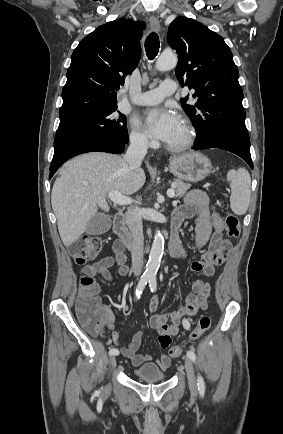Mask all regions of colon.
<instances>
[{
  "label": "colon",
  "mask_w": 283,
  "mask_h": 434,
  "mask_svg": "<svg viewBox=\"0 0 283 434\" xmlns=\"http://www.w3.org/2000/svg\"><path fill=\"white\" fill-rule=\"evenodd\" d=\"M240 221L234 214L228 213L225 217V231L230 237L240 234ZM102 242L98 237L85 235L77 239L70 247V253L74 261L83 265L96 258L101 250ZM76 311L81 324L91 333H98L103 326L102 305L99 299V286L94 277L83 273L79 280V296L76 303ZM211 326V319L202 315L196 327L189 335V340L200 338ZM183 347L174 345L169 350L173 358L179 357Z\"/></svg>",
  "instance_id": "obj_1"
}]
</instances>
